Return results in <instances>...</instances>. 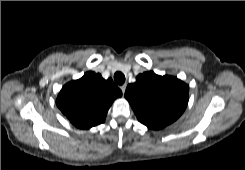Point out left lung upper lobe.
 <instances>
[{
	"label": "left lung upper lobe",
	"mask_w": 245,
	"mask_h": 170,
	"mask_svg": "<svg viewBox=\"0 0 245 170\" xmlns=\"http://www.w3.org/2000/svg\"><path fill=\"white\" fill-rule=\"evenodd\" d=\"M189 87L173 76H159L152 71L136 77L129 84L125 98L138 120L150 129H161L177 120L187 107Z\"/></svg>",
	"instance_id": "obj_1"
}]
</instances>
